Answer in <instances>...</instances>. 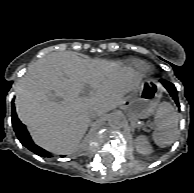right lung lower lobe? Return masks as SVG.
Instances as JSON below:
<instances>
[{
	"mask_svg": "<svg viewBox=\"0 0 194 193\" xmlns=\"http://www.w3.org/2000/svg\"><path fill=\"white\" fill-rule=\"evenodd\" d=\"M12 125H13L14 131H15L19 141L22 143V145H24L30 151H32L33 153H35L39 156H42V157H50L51 156V153L40 148L39 146H37L36 144L33 143L28 131L26 130L25 125L21 123V121L18 119V117L16 115L13 101H12Z\"/></svg>",
	"mask_w": 194,
	"mask_h": 193,
	"instance_id": "obj_1",
	"label": "right lung lower lobe"
}]
</instances>
